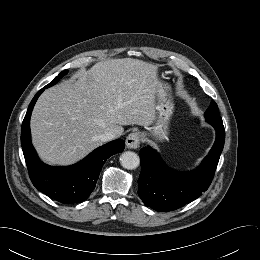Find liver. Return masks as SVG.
<instances>
[{"instance_id": "1", "label": "liver", "mask_w": 260, "mask_h": 260, "mask_svg": "<svg viewBox=\"0 0 260 260\" xmlns=\"http://www.w3.org/2000/svg\"><path fill=\"white\" fill-rule=\"evenodd\" d=\"M158 67L123 58L96 63L90 70L44 91L31 116L33 145L40 158L70 165L99 147L106 131L120 137L124 125L155 120Z\"/></svg>"}]
</instances>
